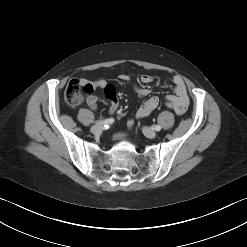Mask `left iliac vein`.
Returning a JSON list of instances; mask_svg holds the SVG:
<instances>
[{
	"label": "left iliac vein",
	"mask_w": 247,
	"mask_h": 247,
	"mask_svg": "<svg viewBox=\"0 0 247 247\" xmlns=\"http://www.w3.org/2000/svg\"><path fill=\"white\" fill-rule=\"evenodd\" d=\"M142 131H143L144 135L150 139H153L157 136V133L149 127H146V126L143 127Z\"/></svg>",
	"instance_id": "1"
}]
</instances>
